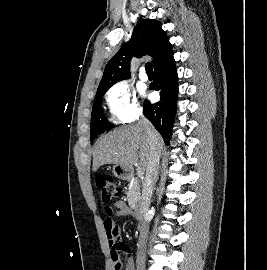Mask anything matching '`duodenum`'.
I'll return each mask as SVG.
<instances>
[{"mask_svg":"<svg viewBox=\"0 0 267 270\" xmlns=\"http://www.w3.org/2000/svg\"><path fill=\"white\" fill-rule=\"evenodd\" d=\"M147 215H148V211L144 210L143 207H141L140 205H138L135 208V216L139 222L145 221L147 218Z\"/></svg>","mask_w":267,"mask_h":270,"instance_id":"1","label":"duodenum"}]
</instances>
